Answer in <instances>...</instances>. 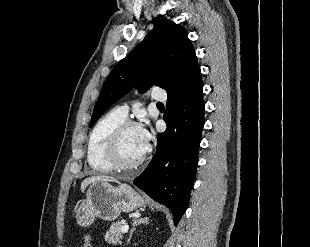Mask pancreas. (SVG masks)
I'll return each mask as SVG.
<instances>
[{"label":"pancreas","mask_w":310,"mask_h":247,"mask_svg":"<svg viewBox=\"0 0 310 247\" xmlns=\"http://www.w3.org/2000/svg\"><path fill=\"white\" fill-rule=\"evenodd\" d=\"M124 225L125 224L122 222L113 223L110 229L106 232L105 241L112 245L122 244L121 240L123 239V235L121 229Z\"/></svg>","instance_id":"cf45deb5"}]
</instances>
